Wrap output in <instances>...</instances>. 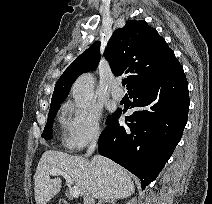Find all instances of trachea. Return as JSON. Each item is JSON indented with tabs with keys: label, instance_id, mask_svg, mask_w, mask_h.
Segmentation results:
<instances>
[{
	"label": "trachea",
	"instance_id": "3493384b",
	"mask_svg": "<svg viewBox=\"0 0 212 204\" xmlns=\"http://www.w3.org/2000/svg\"><path fill=\"white\" fill-rule=\"evenodd\" d=\"M126 83H127V79H123V80H122V85L125 86Z\"/></svg>",
	"mask_w": 212,
	"mask_h": 204
}]
</instances>
